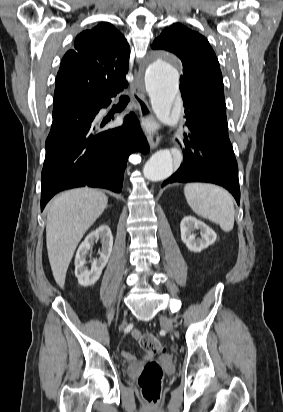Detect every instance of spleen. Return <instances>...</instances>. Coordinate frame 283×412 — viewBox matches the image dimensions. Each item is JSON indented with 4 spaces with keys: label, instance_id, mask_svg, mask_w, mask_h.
<instances>
[{
    "label": "spleen",
    "instance_id": "spleen-1",
    "mask_svg": "<svg viewBox=\"0 0 283 412\" xmlns=\"http://www.w3.org/2000/svg\"><path fill=\"white\" fill-rule=\"evenodd\" d=\"M188 205L200 217L218 224L225 232L234 227L235 210L230 194L205 183H189L184 187Z\"/></svg>",
    "mask_w": 283,
    "mask_h": 412
}]
</instances>
